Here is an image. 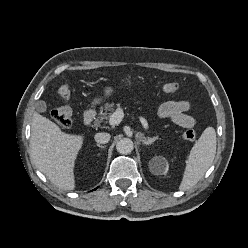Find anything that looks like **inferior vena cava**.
Segmentation results:
<instances>
[{
    "mask_svg": "<svg viewBox=\"0 0 248 248\" xmlns=\"http://www.w3.org/2000/svg\"><path fill=\"white\" fill-rule=\"evenodd\" d=\"M95 141L100 144H106L109 142L111 136L109 133L101 132L95 134Z\"/></svg>",
    "mask_w": 248,
    "mask_h": 248,
    "instance_id": "602c4592",
    "label": "inferior vena cava"
}]
</instances>
